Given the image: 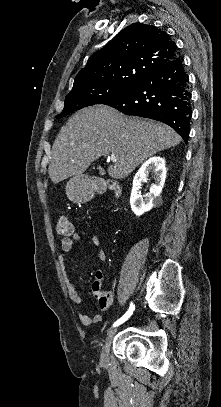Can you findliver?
Masks as SVG:
<instances>
[{"mask_svg": "<svg viewBox=\"0 0 221 407\" xmlns=\"http://www.w3.org/2000/svg\"><path fill=\"white\" fill-rule=\"evenodd\" d=\"M180 142L181 137L168 125L127 117L104 105L91 106L72 115L60 130L52 146L48 173L57 184L81 176L101 156L114 154L116 162L108 174L122 179L144 160Z\"/></svg>", "mask_w": 221, "mask_h": 407, "instance_id": "6515ba94", "label": "liver"}]
</instances>
